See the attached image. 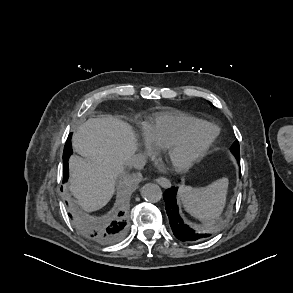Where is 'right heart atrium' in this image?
<instances>
[{
  "mask_svg": "<svg viewBox=\"0 0 293 293\" xmlns=\"http://www.w3.org/2000/svg\"><path fill=\"white\" fill-rule=\"evenodd\" d=\"M146 151L150 154L152 152L151 146H147Z\"/></svg>",
  "mask_w": 293,
  "mask_h": 293,
  "instance_id": "obj_1",
  "label": "right heart atrium"
}]
</instances>
